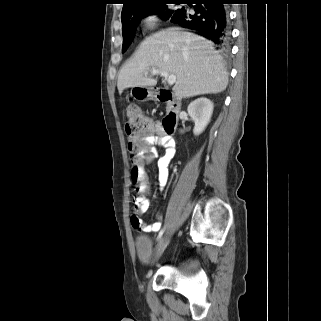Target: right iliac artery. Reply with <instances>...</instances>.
Here are the masks:
<instances>
[{
    "mask_svg": "<svg viewBox=\"0 0 321 321\" xmlns=\"http://www.w3.org/2000/svg\"><path fill=\"white\" fill-rule=\"evenodd\" d=\"M164 230H165V228L161 229V231L159 232V235L157 237V240H159L162 237Z\"/></svg>",
    "mask_w": 321,
    "mask_h": 321,
    "instance_id": "right-iliac-artery-1",
    "label": "right iliac artery"
}]
</instances>
